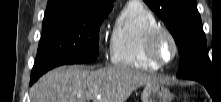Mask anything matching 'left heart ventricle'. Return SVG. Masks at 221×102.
Listing matches in <instances>:
<instances>
[{"label":"left heart ventricle","mask_w":221,"mask_h":102,"mask_svg":"<svg viewBox=\"0 0 221 102\" xmlns=\"http://www.w3.org/2000/svg\"><path fill=\"white\" fill-rule=\"evenodd\" d=\"M158 53L164 59L168 60L171 58L173 48L169 40L163 38L158 46Z\"/></svg>","instance_id":"1"}]
</instances>
